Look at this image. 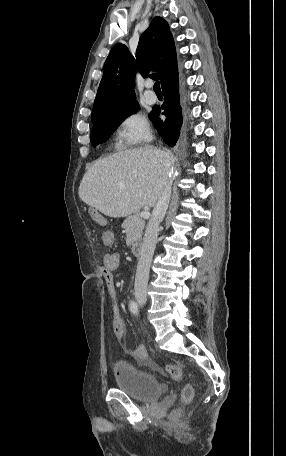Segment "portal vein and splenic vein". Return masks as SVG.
Here are the masks:
<instances>
[{
  "label": "portal vein and splenic vein",
  "instance_id": "obj_1",
  "mask_svg": "<svg viewBox=\"0 0 286 456\" xmlns=\"http://www.w3.org/2000/svg\"><path fill=\"white\" fill-rule=\"evenodd\" d=\"M140 216L144 219H148L150 216V212L148 211V208H146L143 212H141Z\"/></svg>",
  "mask_w": 286,
  "mask_h": 456
}]
</instances>
